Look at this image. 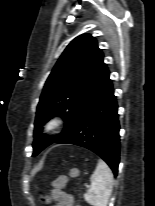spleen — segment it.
Segmentation results:
<instances>
[{"mask_svg": "<svg viewBox=\"0 0 155 206\" xmlns=\"http://www.w3.org/2000/svg\"><path fill=\"white\" fill-rule=\"evenodd\" d=\"M91 186L84 199L92 206H107L113 189V174L108 165L99 160L90 178Z\"/></svg>", "mask_w": 155, "mask_h": 206, "instance_id": "1", "label": "spleen"}]
</instances>
